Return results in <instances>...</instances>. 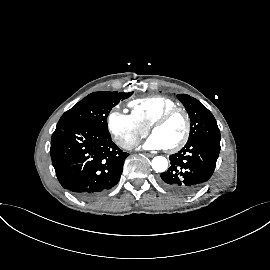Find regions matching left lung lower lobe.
I'll use <instances>...</instances> for the list:
<instances>
[{
	"instance_id": "obj_1",
	"label": "left lung lower lobe",
	"mask_w": 270,
	"mask_h": 270,
	"mask_svg": "<svg viewBox=\"0 0 270 270\" xmlns=\"http://www.w3.org/2000/svg\"><path fill=\"white\" fill-rule=\"evenodd\" d=\"M220 152V138L200 137L169 157L171 166L161 173L160 184L167 190L190 195L211 178Z\"/></svg>"
}]
</instances>
